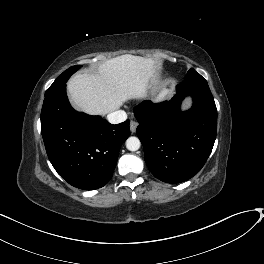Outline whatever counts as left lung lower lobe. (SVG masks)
<instances>
[{
	"mask_svg": "<svg viewBox=\"0 0 264 264\" xmlns=\"http://www.w3.org/2000/svg\"><path fill=\"white\" fill-rule=\"evenodd\" d=\"M170 100L144 101L134 114L136 133L151 173L167 183L196 175L208 159L216 138L217 109L207 81H183ZM191 95L193 106L182 112V100Z\"/></svg>",
	"mask_w": 264,
	"mask_h": 264,
	"instance_id": "obj_1",
	"label": "left lung lower lobe"
}]
</instances>
